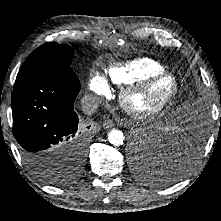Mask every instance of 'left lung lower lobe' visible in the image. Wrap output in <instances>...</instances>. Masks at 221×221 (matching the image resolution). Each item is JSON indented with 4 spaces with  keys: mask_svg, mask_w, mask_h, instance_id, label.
<instances>
[{
    "mask_svg": "<svg viewBox=\"0 0 221 221\" xmlns=\"http://www.w3.org/2000/svg\"><path fill=\"white\" fill-rule=\"evenodd\" d=\"M184 124L187 126L185 133L170 143L161 145L156 136L146 142H133L132 155L141 166L139 175L145 182L158 187L170 185L193 167L200 152L196 141L203 134L204 124L201 121Z\"/></svg>",
    "mask_w": 221,
    "mask_h": 221,
    "instance_id": "1",
    "label": "left lung lower lobe"
}]
</instances>
